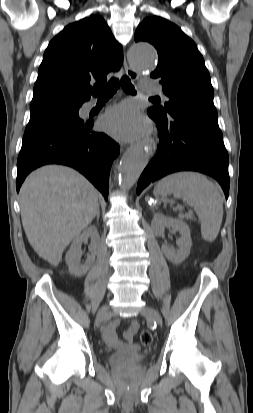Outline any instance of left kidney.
Instances as JSON below:
<instances>
[{"label":"left kidney","instance_id":"5707ae66","mask_svg":"<svg viewBox=\"0 0 253 413\" xmlns=\"http://www.w3.org/2000/svg\"><path fill=\"white\" fill-rule=\"evenodd\" d=\"M151 227L156 235H161L164 232L165 227H171L181 234L177 250L170 248L167 245L162 246V251L170 262L180 264L189 256L192 240L190 229L185 222L156 213L153 216Z\"/></svg>","mask_w":253,"mask_h":413}]
</instances>
